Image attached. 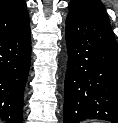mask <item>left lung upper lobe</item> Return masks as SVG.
<instances>
[{
    "mask_svg": "<svg viewBox=\"0 0 118 123\" xmlns=\"http://www.w3.org/2000/svg\"><path fill=\"white\" fill-rule=\"evenodd\" d=\"M69 15L109 21L106 9L100 0H71L69 3Z\"/></svg>",
    "mask_w": 118,
    "mask_h": 123,
    "instance_id": "obj_1",
    "label": "left lung upper lobe"
}]
</instances>
